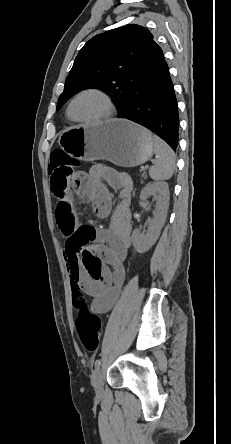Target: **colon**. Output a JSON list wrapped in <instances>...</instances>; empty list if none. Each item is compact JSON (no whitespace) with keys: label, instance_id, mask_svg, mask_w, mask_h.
<instances>
[{"label":"colon","instance_id":"1","mask_svg":"<svg viewBox=\"0 0 231 444\" xmlns=\"http://www.w3.org/2000/svg\"><path fill=\"white\" fill-rule=\"evenodd\" d=\"M79 162L64 151L54 150L50 156L49 174L57 185L67 184L76 175ZM95 229L90 226H81L78 234L82 237L93 235ZM73 288V302L78 312L77 331L83 347L88 352H95L99 347L102 335V321L100 317L89 311L87 301L79 286Z\"/></svg>","mask_w":231,"mask_h":444}]
</instances>
